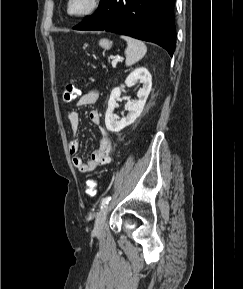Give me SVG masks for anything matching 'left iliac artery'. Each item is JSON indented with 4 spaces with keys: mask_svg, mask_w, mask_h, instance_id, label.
Here are the masks:
<instances>
[{
    "mask_svg": "<svg viewBox=\"0 0 243 289\" xmlns=\"http://www.w3.org/2000/svg\"><path fill=\"white\" fill-rule=\"evenodd\" d=\"M110 200H111L110 196H107V197L103 198L102 201H101V207L106 206L109 203Z\"/></svg>",
    "mask_w": 243,
    "mask_h": 289,
    "instance_id": "left-iliac-artery-1",
    "label": "left iliac artery"
}]
</instances>
